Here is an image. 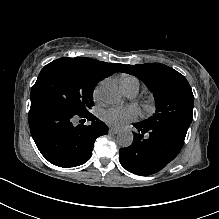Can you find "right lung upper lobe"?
<instances>
[{"label": "right lung upper lobe", "instance_id": "obj_1", "mask_svg": "<svg viewBox=\"0 0 219 219\" xmlns=\"http://www.w3.org/2000/svg\"><path fill=\"white\" fill-rule=\"evenodd\" d=\"M64 59L72 60L75 62H79L87 67H89L93 72L106 75L107 77L115 72H119L125 66L124 64L118 63H106L103 61H98L91 58L78 57V58H69L63 57Z\"/></svg>", "mask_w": 219, "mask_h": 219}]
</instances>
